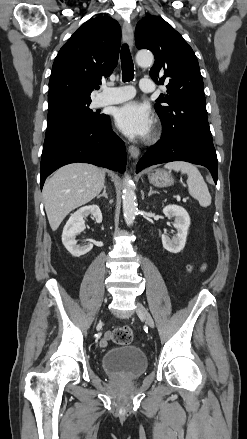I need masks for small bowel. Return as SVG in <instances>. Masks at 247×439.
<instances>
[{
    "label": "small bowel",
    "instance_id": "1",
    "mask_svg": "<svg viewBox=\"0 0 247 439\" xmlns=\"http://www.w3.org/2000/svg\"><path fill=\"white\" fill-rule=\"evenodd\" d=\"M205 269H206V265H203L202 266V270H205ZM110 337H111V334L110 333H106L104 335V337L100 339V342H99L100 346L101 347L107 346V344H108V342L110 340Z\"/></svg>",
    "mask_w": 247,
    "mask_h": 439
}]
</instances>
